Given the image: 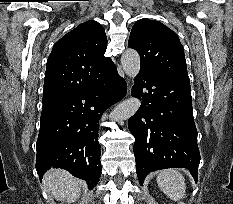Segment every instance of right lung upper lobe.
Segmentation results:
<instances>
[{"label": "right lung upper lobe", "instance_id": "cb5924a9", "mask_svg": "<svg viewBox=\"0 0 233 204\" xmlns=\"http://www.w3.org/2000/svg\"><path fill=\"white\" fill-rule=\"evenodd\" d=\"M107 37L96 21H87L53 46L45 72L43 105L78 92L97 82L114 65L104 56Z\"/></svg>", "mask_w": 233, "mask_h": 204}]
</instances>
